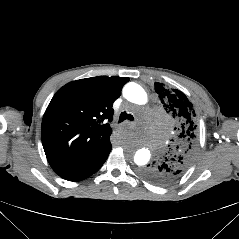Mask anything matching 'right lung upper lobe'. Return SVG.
Masks as SVG:
<instances>
[{
  "instance_id": "right-lung-upper-lobe-1",
  "label": "right lung upper lobe",
  "mask_w": 239,
  "mask_h": 239,
  "mask_svg": "<svg viewBox=\"0 0 239 239\" xmlns=\"http://www.w3.org/2000/svg\"><path fill=\"white\" fill-rule=\"evenodd\" d=\"M129 78L98 76L60 88L42 120L41 138L49 164L59 175L96 153L111 135L113 102Z\"/></svg>"
}]
</instances>
